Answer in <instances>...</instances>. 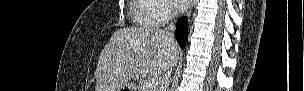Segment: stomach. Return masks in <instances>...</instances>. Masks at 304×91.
I'll return each mask as SVG.
<instances>
[{
  "instance_id": "1",
  "label": "stomach",
  "mask_w": 304,
  "mask_h": 91,
  "mask_svg": "<svg viewBox=\"0 0 304 91\" xmlns=\"http://www.w3.org/2000/svg\"><path fill=\"white\" fill-rule=\"evenodd\" d=\"M121 90L136 91V90H134V88H132L130 86H124Z\"/></svg>"
}]
</instances>
